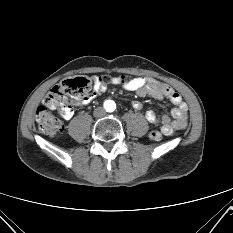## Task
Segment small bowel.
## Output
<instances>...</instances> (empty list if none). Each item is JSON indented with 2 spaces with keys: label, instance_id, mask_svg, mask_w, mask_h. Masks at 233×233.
Returning <instances> with one entry per match:
<instances>
[{
  "label": "small bowel",
  "instance_id": "obj_1",
  "mask_svg": "<svg viewBox=\"0 0 233 233\" xmlns=\"http://www.w3.org/2000/svg\"><path fill=\"white\" fill-rule=\"evenodd\" d=\"M108 85L121 86L122 89L136 93L139 97H152L157 100L167 99L174 107L170 115L163 114L158 116L154 110H147L145 113L146 120L154 125L160 126L161 132L166 136H171L179 130H183L188 124V107L178 94L168 84L151 77L138 76L130 79L125 83L119 82L117 77H112L109 82L102 81L98 76L93 79L92 95L77 105H88L98 95L107 90ZM132 106L136 110L142 109L140 101H134ZM58 114L65 120H69L74 115L71 106L57 108Z\"/></svg>",
  "mask_w": 233,
  "mask_h": 233
}]
</instances>
